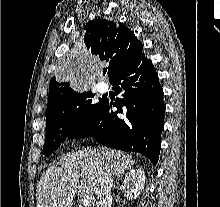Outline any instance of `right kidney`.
I'll return each instance as SVG.
<instances>
[{
  "label": "right kidney",
  "mask_w": 220,
  "mask_h": 207,
  "mask_svg": "<svg viewBox=\"0 0 220 207\" xmlns=\"http://www.w3.org/2000/svg\"><path fill=\"white\" fill-rule=\"evenodd\" d=\"M146 177L141 169H132L126 176L121 186L124 196L128 199H136L144 189Z\"/></svg>",
  "instance_id": "ca27d5eb"
}]
</instances>
